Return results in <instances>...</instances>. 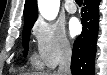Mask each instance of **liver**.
<instances>
[{
    "mask_svg": "<svg viewBox=\"0 0 107 75\" xmlns=\"http://www.w3.org/2000/svg\"><path fill=\"white\" fill-rule=\"evenodd\" d=\"M24 75H57L56 72L53 73H38V72H33V73H27Z\"/></svg>",
    "mask_w": 107,
    "mask_h": 75,
    "instance_id": "6515ba94",
    "label": "liver"
}]
</instances>
